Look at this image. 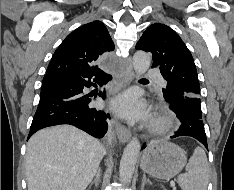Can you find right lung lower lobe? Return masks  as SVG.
Wrapping results in <instances>:
<instances>
[{"label":"right lung lower lobe","mask_w":234,"mask_h":190,"mask_svg":"<svg viewBox=\"0 0 234 190\" xmlns=\"http://www.w3.org/2000/svg\"><path fill=\"white\" fill-rule=\"evenodd\" d=\"M112 77L98 67H83L52 75L42 83L40 101L28 138L36 131L58 124H70L102 138L108 129L109 114L90 107L91 99L83 88L106 84ZM104 97L105 92H99Z\"/></svg>","instance_id":"obj_1"}]
</instances>
